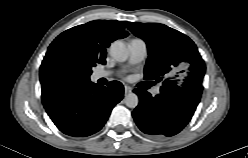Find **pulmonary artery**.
<instances>
[{"label": "pulmonary artery", "mask_w": 248, "mask_h": 158, "mask_svg": "<svg viewBox=\"0 0 248 158\" xmlns=\"http://www.w3.org/2000/svg\"><path fill=\"white\" fill-rule=\"evenodd\" d=\"M128 47L130 50L128 63L130 65H135L141 63L147 56L148 47L147 43L139 38H134L129 41ZM111 72L107 70H97L94 72V79L109 78Z\"/></svg>", "instance_id": "1"}]
</instances>
